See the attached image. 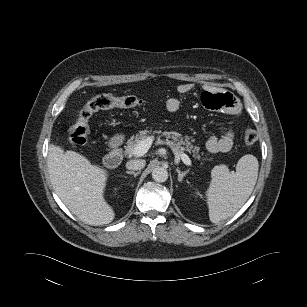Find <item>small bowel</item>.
Segmentation results:
<instances>
[{
    "instance_id": "c3829d8e",
    "label": "small bowel",
    "mask_w": 307,
    "mask_h": 307,
    "mask_svg": "<svg viewBox=\"0 0 307 307\" xmlns=\"http://www.w3.org/2000/svg\"><path fill=\"white\" fill-rule=\"evenodd\" d=\"M194 89V85L191 83L180 84L177 87V94L183 96L189 94ZM204 92L201 95L202 104L211 110H224L227 113L237 115L239 113L238 102L236 98L228 93L222 92L217 87L210 84H206L203 87ZM180 98L170 97L165 103L167 111L173 113L180 108ZM222 136H211L206 143L207 149L211 153H226L229 152L234 145V127L233 123Z\"/></svg>"
}]
</instances>
